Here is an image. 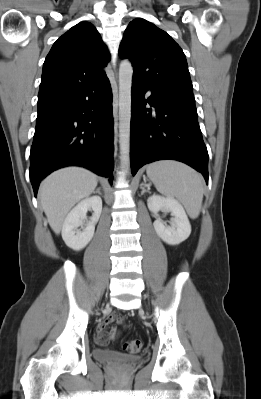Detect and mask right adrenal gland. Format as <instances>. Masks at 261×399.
<instances>
[{"label": "right adrenal gland", "instance_id": "right-adrenal-gland-1", "mask_svg": "<svg viewBox=\"0 0 261 399\" xmlns=\"http://www.w3.org/2000/svg\"><path fill=\"white\" fill-rule=\"evenodd\" d=\"M94 193H98L100 195H102V193L100 192V187L96 189V191Z\"/></svg>", "mask_w": 261, "mask_h": 399}]
</instances>
